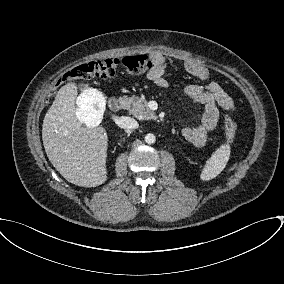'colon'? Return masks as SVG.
<instances>
[{"label": "colon", "instance_id": "colon-1", "mask_svg": "<svg viewBox=\"0 0 284 284\" xmlns=\"http://www.w3.org/2000/svg\"><path fill=\"white\" fill-rule=\"evenodd\" d=\"M151 68L152 62L146 55H131L120 58H108L90 61L69 70L57 82L55 87L68 81L111 79L120 70H123L130 75H137L144 73ZM224 128L229 144L233 145L236 132V124L229 115H226L224 117Z\"/></svg>", "mask_w": 284, "mask_h": 284}]
</instances>
